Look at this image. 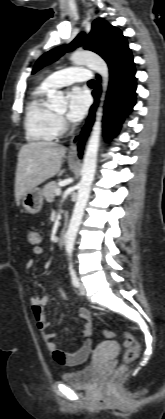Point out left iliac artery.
<instances>
[{
	"label": "left iliac artery",
	"instance_id": "1",
	"mask_svg": "<svg viewBox=\"0 0 165 419\" xmlns=\"http://www.w3.org/2000/svg\"><path fill=\"white\" fill-rule=\"evenodd\" d=\"M70 274H71V278H72V284L75 287H79V279H78V277L76 275V272H75V270L73 269L72 266H70Z\"/></svg>",
	"mask_w": 165,
	"mask_h": 419
}]
</instances>
